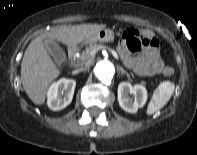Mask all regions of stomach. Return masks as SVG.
<instances>
[{"label": "stomach", "instance_id": "stomach-1", "mask_svg": "<svg viewBox=\"0 0 197 155\" xmlns=\"http://www.w3.org/2000/svg\"><path fill=\"white\" fill-rule=\"evenodd\" d=\"M114 32L111 29L104 28L95 33L92 37L85 40V43L93 42H112L114 40Z\"/></svg>", "mask_w": 197, "mask_h": 155}]
</instances>
